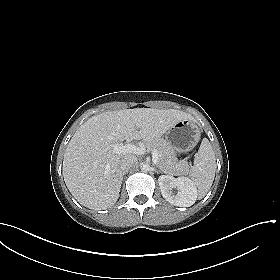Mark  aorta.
<instances>
[{
	"instance_id": "1",
	"label": "aorta",
	"mask_w": 280,
	"mask_h": 280,
	"mask_svg": "<svg viewBox=\"0 0 280 280\" xmlns=\"http://www.w3.org/2000/svg\"><path fill=\"white\" fill-rule=\"evenodd\" d=\"M140 167H141V170H142L143 172H147V171L150 170V166H149V164H147V163L141 164Z\"/></svg>"
}]
</instances>
